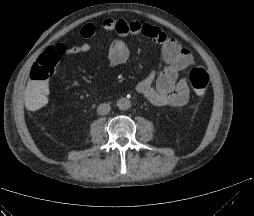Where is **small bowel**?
I'll return each mask as SVG.
<instances>
[{
	"mask_svg": "<svg viewBox=\"0 0 254 216\" xmlns=\"http://www.w3.org/2000/svg\"><path fill=\"white\" fill-rule=\"evenodd\" d=\"M102 27L104 30L116 32L118 35L110 42L108 49V61L112 66H120L126 63L129 58V47L123 39L127 35H142L159 43L166 66L159 75L150 71L138 83L137 91L156 106L181 107L187 104L190 91L185 79L180 76V72L193 62L192 53L188 48L182 46L162 29L136 20L107 19L103 22ZM96 33L97 27L93 23H86L80 29V34L84 38H92ZM59 46L63 47L61 58L86 53L93 49L90 43H80L71 47L58 44L53 49L56 50ZM47 83L49 97L51 88L48 80Z\"/></svg>",
	"mask_w": 254,
	"mask_h": 216,
	"instance_id": "small-bowel-1",
	"label": "small bowel"
}]
</instances>
